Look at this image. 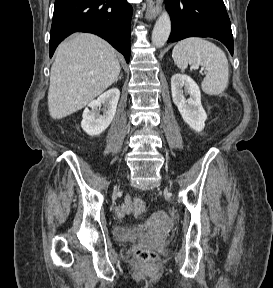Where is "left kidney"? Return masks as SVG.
Here are the masks:
<instances>
[{"instance_id": "left-kidney-1", "label": "left kidney", "mask_w": 273, "mask_h": 288, "mask_svg": "<svg viewBox=\"0 0 273 288\" xmlns=\"http://www.w3.org/2000/svg\"><path fill=\"white\" fill-rule=\"evenodd\" d=\"M171 92L174 104L183 120L196 132L205 127L207 115L201 104V92L191 77L183 74H174L171 78ZM190 97L186 99V95Z\"/></svg>"}]
</instances>
